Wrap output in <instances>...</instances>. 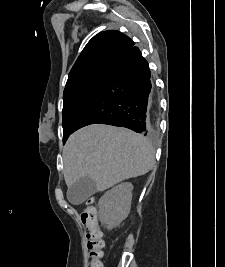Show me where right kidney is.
I'll use <instances>...</instances> for the list:
<instances>
[{
  "label": "right kidney",
  "mask_w": 225,
  "mask_h": 267,
  "mask_svg": "<svg viewBox=\"0 0 225 267\" xmlns=\"http://www.w3.org/2000/svg\"><path fill=\"white\" fill-rule=\"evenodd\" d=\"M133 185L121 183L99 200V219L107 229L117 227L130 213Z\"/></svg>",
  "instance_id": "1"
}]
</instances>
